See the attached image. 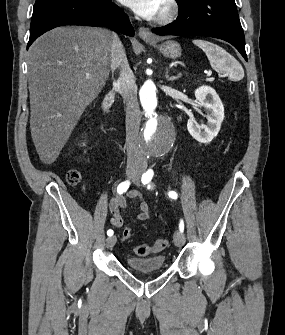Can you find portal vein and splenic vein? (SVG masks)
<instances>
[{"label": "portal vein and splenic vein", "instance_id": "obj_1", "mask_svg": "<svg viewBox=\"0 0 285 335\" xmlns=\"http://www.w3.org/2000/svg\"><path fill=\"white\" fill-rule=\"evenodd\" d=\"M85 76H86L87 80H90L91 74H85ZM207 80H208V78H207Z\"/></svg>", "mask_w": 285, "mask_h": 335}]
</instances>
